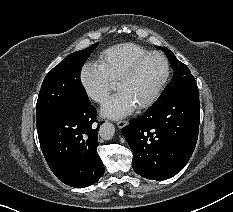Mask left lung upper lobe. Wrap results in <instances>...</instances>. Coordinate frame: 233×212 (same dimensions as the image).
Instances as JSON below:
<instances>
[{
	"instance_id": "1",
	"label": "left lung upper lobe",
	"mask_w": 233,
	"mask_h": 212,
	"mask_svg": "<svg viewBox=\"0 0 233 212\" xmlns=\"http://www.w3.org/2000/svg\"><path fill=\"white\" fill-rule=\"evenodd\" d=\"M167 54L174 70L171 82L166 86L160 97H167L175 91L182 89H198L194 77L190 74L188 67L180 62L172 51L166 47L156 46Z\"/></svg>"
}]
</instances>
